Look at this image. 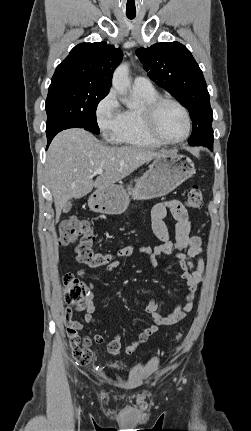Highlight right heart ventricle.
Here are the masks:
<instances>
[{
    "instance_id": "e07e8e85",
    "label": "right heart ventricle",
    "mask_w": 251,
    "mask_h": 431,
    "mask_svg": "<svg viewBox=\"0 0 251 431\" xmlns=\"http://www.w3.org/2000/svg\"><path fill=\"white\" fill-rule=\"evenodd\" d=\"M135 93L143 101V106L158 97L157 92L136 91ZM142 107L127 109L123 111L122 126L114 138L118 143L146 148H157L160 146L146 131L142 117Z\"/></svg>"
}]
</instances>
